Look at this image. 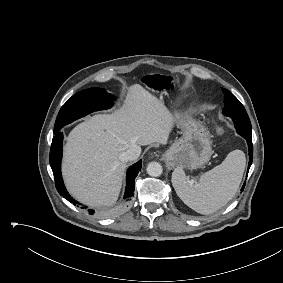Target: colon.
Listing matches in <instances>:
<instances>
[{
	"label": "colon",
	"mask_w": 283,
	"mask_h": 283,
	"mask_svg": "<svg viewBox=\"0 0 283 283\" xmlns=\"http://www.w3.org/2000/svg\"><path fill=\"white\" fill-rule=\"evenodd\" d=\"M144 83L152 90L158 92H164L168 90L171 86L170 79L160 75L147 76L144 79ZM215 128H216V132L219 134H222L224 132V128L221 125H216Z\"/></svg>",
	"instance_id": "1"
}]
</instances>
